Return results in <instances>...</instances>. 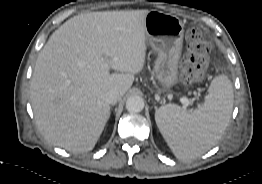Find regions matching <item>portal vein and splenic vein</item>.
<instances>
[{
    "label": "portal vein and splenic vein",
    "mask_w": 262,
    "mask_h": 184,
    "mask_svg": "<svg viewBox=\"0 0 262 184\" xmlns=\"http://www.w3.org/2000/svg\"><path fill=\"white\" fill-rule=\"evenodd\" d=\"M180 102L183 104L185 109L190 105V101L187 97L180 98Z\"/></svg>",
    "instance_id": "portal-vein-and-splenic-vein-1"
}]
</instances>
